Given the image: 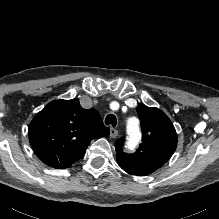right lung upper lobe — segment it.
I'll use <instances>...</instances> for the list:
<instances>
[{
  "label": "right lung upper lobe",
  "mask_w": 219,
  "mask_h": 219,
  "mask_svg": "<svg viewBox=\"0 0 219 219\" xmlns=\"http://www.w3.org/2000/svg\"><path fill=\"white\" fill-rule=\"evenodd\" d=\"M29 142L46 165L65 169L82 158L91 140L109 135L96 109L78 99L47 104L29 125Z\"/></svg>",
  "instance_id": "obj_1"
}]
</instances>
